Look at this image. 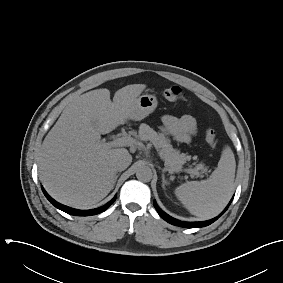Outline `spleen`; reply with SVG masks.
I'll return each instance as SVG.
<instances>
[{
	"mask_svg": "<svg viewBox=\"0 0 283 283\" xmlns=\"http://www.w3.org/2000/svg\"><path fill=\"white\" fill-rule=\"evenodd\" d=\"M236 161L229 146L221 154L218 167L202 181L178 186L175 195L189 212L200 218L217 215L228 203L234 189Z\"/></svg>",
	"mask_w": 283,
	"mask_h": 283,
	"instance_id": "spleen-1",
	"label": "spleen"
}]
</instances>
